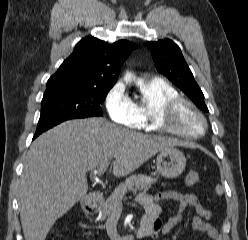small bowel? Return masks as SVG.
Instances as JSON below:
<instances>
[{
  "label": "small bowel",
  "instance_id": "1",
  "mask_svg": "<svg viewBox=\"0 0 248 240\" xmlns=\"http://www.w3.org/2000/svg\"><path fill=\"white\" fill-rule=\"evenodd\" d=\"M178 202V211L170 219L162 222L160 202L163 201ZM137 201L145 208V215L142 222H147L152 225L149 237L155 239L159 233L169 234L181 219V213L187 207H193L195 210V217L192 220V227L195 230L201 231L208 235L213 240L219 238L218 231L209 223L212 214L203 207L196 196L191 194H184L179 191H161L155 195L141 193L137 197Z\"/></svg>",
  "mask_w": 248,
  "mask_h": 240
}]
</instances>
